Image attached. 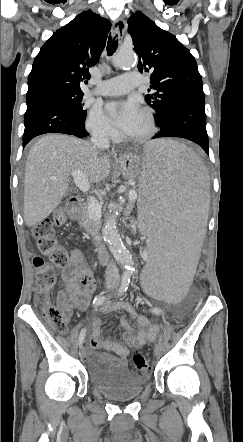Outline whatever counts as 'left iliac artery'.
<instances>
[{
    "mask_svg": "<svg viewBox=\"0 0 243 442\" xmlns=\"http://www.w3.org/2000/svg\"><path fill=\"white\" fill-rule=\"evenodd\" d=\"M151 311H152L154 314H156V315H161V314H162L161 309H160V308H157V307L152 308ZM161 341H162V337L160 336V338H159V342H161Z\"/></svg>",
    "mask_w": 243,
    "mask_h": 442,
    "instance_id": "1",
    "label": "left iliac artery"
}]
</instances>
